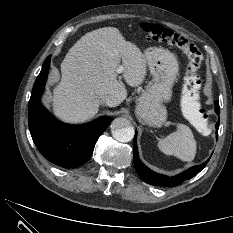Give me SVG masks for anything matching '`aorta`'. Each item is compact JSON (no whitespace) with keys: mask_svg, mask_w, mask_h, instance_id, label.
Here are the masks:
<instances>
[{"mask_svg":"<svg viewBox=\"0 0 233 233\" xmlns=\"http://www.w3.org/2000/svg\"><path fill=\"white\" fill-rule=\"evenodd\" d=\"M112 136L119 142H129L134 137V129L129 120L123 117L115 118L111 123Z\"/></svg>","mask_w":233,"mask_h":233,"instance_id":"762f6f07","label":"aorta"}]
</instances>
